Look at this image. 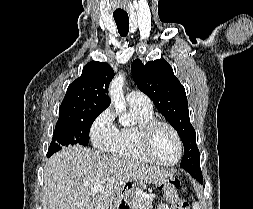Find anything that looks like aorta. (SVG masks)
<instances>
[{"label":"aorta","mask_w":253,"mask_h":209,"mask_svg":"<svg viewBox=\"0 0 253 209\" xmlns=\"http://www.w3.org/2000/svg\"><path fill=\"white\" fill-rule=\"evenodd\" d=\"M124 80V74L119 73L114 77L109 86L110 100L116 108V111H118L119 113L125 110V99L123 94ZM119 121L123 125L128 124L130 122L127 117H120Z\"/></svg>","instance_id":"obj_1"}]
</instances>
